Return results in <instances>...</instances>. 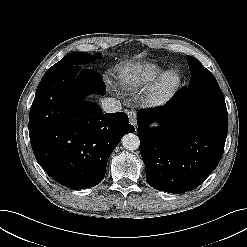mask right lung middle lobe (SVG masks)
Segmentation results:
<instances>
[{"mask_svg":"<svg viewBox=\"0 0 247 247\" xmlns=\"http://www.w3.org/2000/svg\"><path fill=\"white\" fill-rule=\"evenodd\" d=\"M100 55V53L91 56L83 52H73L71 54L66 55L62 60L50 67L45 74H49L67 68H73L76 66H83L84 64L93 61Z\"/></svg>","mask_w":247,"mask_h":247,"instance_id":"dd1d6c3e","label":"right lung middle lobe"}]
</instances>
